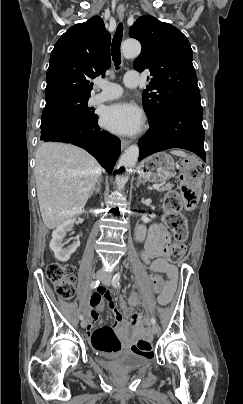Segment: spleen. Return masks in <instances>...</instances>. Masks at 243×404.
<instances>
[{"label": "spleen", "mask_w": 243, "mask_h": 404, "mask_svg": "<svg viewBox=\"0 0 243 404\" xmlns=\"http://www.w3.org/2000/svg\"><path fill=\"white\" fill-rule=\"evenodd\" d=\"M171 154H174V156H181V158H187V154H185V152H182V150H173Z\"/></svg>", "instance_id": "1"}]
</instances>
